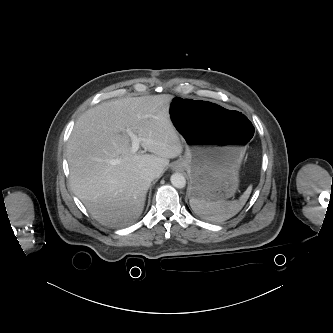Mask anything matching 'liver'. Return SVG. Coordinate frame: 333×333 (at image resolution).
I'll return each mask as SVG.
<instances>
[{
	"label": "liver",
	"instance_id": "liver-1",
	"mask_svg": "<svg viewBox=\"0 0 333 333\" xmlns=\"http://www.w3.org/2000/svg\"><path fill=\"white\" fill-rule=\"evenodd\" d=\"M172 99L163 94L103 102L75 123L67 145L70 181L100 223L124 225L137 220L151 183L142 180L140 172L153 169L160 176L169 159L182 153L169 115ZM126 129L147 139L140 144L152 154L131 153ZM113 159L120 163L111 164Z\"/></svg>",
	"mask_w": 333,
	"mask_h": 333
}]
</instances>
